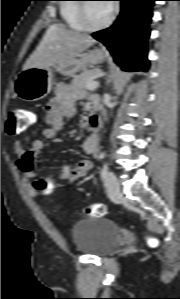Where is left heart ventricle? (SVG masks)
Returning <instances> with one entry per match:
<instances>
[{"instance_id": "b2bd125f", "label": "left heart ventricle", "mask_w": 180, "mask_h": 299, "mask_svg": "<svg viewBox=\"0 0 180 299\" xmlns=\"http://www.w3.org/2000/svg\"><path fill=\"white\" fill-rule=\"evenodd\" d=\"M87 17L91 25H99L104 22L110 14L111 8L106 3H87Z\"/></svg>"}]
</instances>
